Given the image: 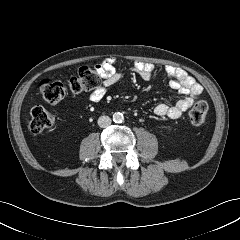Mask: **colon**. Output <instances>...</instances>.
Returning <instances> with one entry per match:
<instances>
[{
	"mask_svg": "<svg viewBox=\"0 0 240 240\" xmlns=\"http://www.w3.org/2000/svg\"><path fill=\"white\" fill-rule=\"evenodd\" d=\"M100 85L98 72L89 66L79 69L75 76L65 81L45 79L40 83L39 91L42 98L48 103H57L68 94H80L96 89ZM207 103L198 99L189 111L190 122L194 126L202 125L206 120ZM56 122L55 116L42 106L31 110L29 128L33 133H40L50 129Z\"/></svg>",
	"mask_w": 240,
	"mask_h": 240,
	"instance_id": "5ec220e1",
	"label": "colon"
}]
</instances>
